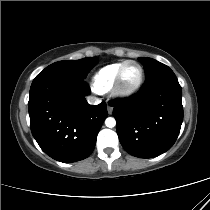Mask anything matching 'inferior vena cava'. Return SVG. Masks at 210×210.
I'll return each instance as SVG.
<instances>
[{
  "instance_id": "obj_1",
  "label": "inferior vena cava",
  "mask_w": 210,
  "mask_h": 210,
  "mask_svg": "<svg viewBox=\"0 0 210 210\" xmlns=\"http://www.w3.org/2000/svg\"><path fill=\"white\" fill-rule=\"evenodd\" d=\"M87 102L91 105H97L99 104L101 101L97 98V97H94V96H88L87 97Z\"/></svg>"
}]
</instances>
